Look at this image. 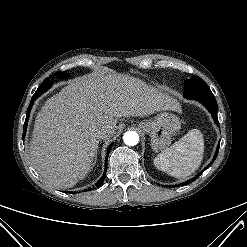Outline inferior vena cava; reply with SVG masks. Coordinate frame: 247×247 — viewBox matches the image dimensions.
Here are the masks:
<instances>
[{
	"mask_svg": "<svg viewBox=\"0 0 247 247\" xmlns=\"http://www.w3.org/2000/svg\"><path fill=\"white\" fill-rule=\"evenodd\" d=\"M93 135L97 139H102L106 135V130H104V129H96V130H94Z\"/></svg>",
	"mask_w": 247,
	"mask_h": 247,
	"instance_id": "obj_1",
	"label": "inferior vena cava"
}]
</instances>
